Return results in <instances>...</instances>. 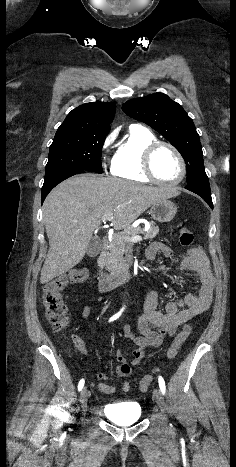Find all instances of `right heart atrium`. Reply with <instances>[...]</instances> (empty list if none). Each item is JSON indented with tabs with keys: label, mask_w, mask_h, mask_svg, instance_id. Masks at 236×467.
<instances>
[{
	"label": "right heart atrium",
	"mask_w": 236,
	"mask_h": 467,
	"mask_svg": "<svg viewBox=\"0 0 236 467\" xmlns=\"http://www.w3.org/2000/svg\"><path fill=\"white\" fill-rule=\"evenodd\" d=\"M113 141H114V135L113 134L106 137V139L104 140V142L102 144L103 152H108L109 151Z\"/></svg>",
	"instance_id": "obj_1"
}]
</instances>
